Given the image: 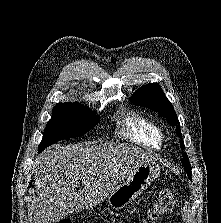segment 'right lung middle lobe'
<instances>
[{
	"label": "right lung middle lobe",
	"instance_id": "obj_1",
	"mask_svg": "<svg viewBox=\"0 0 221 223\" xmlns=\"http://www.w3.org/2000/svg\"><path fill=\"white\" fill-rule=\"evenodd\" d=\"M99 121V116L79 103L57 104L52 118L48 121L38 153L57 141L80 137L91 130Z\"/></svg>",
	"mask_w": 221,
	"mask_h": 223
}]
</instances>
